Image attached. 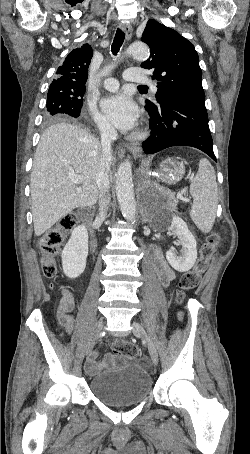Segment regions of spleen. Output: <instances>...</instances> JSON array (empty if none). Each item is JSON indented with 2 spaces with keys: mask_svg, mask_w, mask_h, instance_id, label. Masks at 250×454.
Segmentation results:
<instances>
[{
  "mask_svg": "<svg viewBox=\"0 0 250 454\" xmlns=\"http://www.w3.org/2000/svg\"><path fill=\"white\" fill-rule=\"evenodd\" d=\"M190 194L194 200L190 217L202 232L208 233L215 222L218 187L214 168L205 158L199 161L198 172L190 185Z\"/></svg>",
  "mask_w": 250,
  "mask_h": 454,
  "instance_id": "spleen-1",
  "label": "spleen"
}]
</instances>
